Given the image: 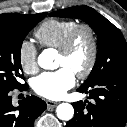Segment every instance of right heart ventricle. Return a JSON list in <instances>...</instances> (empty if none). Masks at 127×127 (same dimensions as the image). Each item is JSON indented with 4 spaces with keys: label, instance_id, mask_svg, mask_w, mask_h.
Segmentation results:
<instances>
[{
    "label": "right heart ventricle",
    "instance_id": "right-heart-ventricle-1",
    "mask_svg": "<svg viewBox=\"0 0 127 127\" xmlns=\"http://www.w3.org/2000/svg\"><path fill=\"white\" fill-rule=\"evenodd\" d=\"M77 25L75 20L48 19L36 29L35 37L43 47L58 49Z\"/></svg>",
    "mask_w": 127,
    "mask_h": 127
}]
</instances>
